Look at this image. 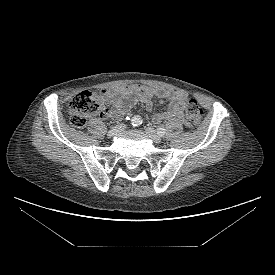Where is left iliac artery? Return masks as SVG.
<instances>
[{
	"mask_svg": "<svg viewBox=\"0 0 275 275\" xmlns=\"http://www.w3.org/2000/svg\"><path fill=\"white\" fill-rule=\"evenodd\" d=\"M157 133L160 135V136H164L166 134V130L162 127H159L157 128Z\"/></svg>",
	"mask_w": 275,
	"mask_h": 275,
	"instance_id": "obj_1",
	"label": "left iliac artery"
}]
</instances>
